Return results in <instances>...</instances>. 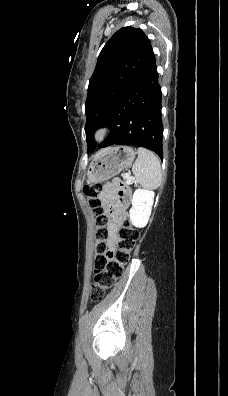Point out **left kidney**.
Masks as SVG:
<instances>
[{"label":"left kidney","mask_w":228,"mask_h":396,"mask_svg":"<svg viewBox=\"0 0 228 396\" xmlns=\"http://www.w3.org/2000/svg\"><path fill=\"white\" fill-rule=\"evenodd\" d=\"M154 192L137 189L133 193L132 207L129 211L130 222L133 226L143 228L147 225L154 202Z\"/></svg>","instance_id":"1"}]
</instances>
